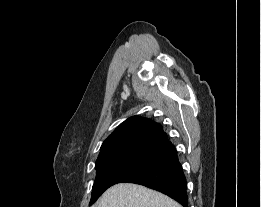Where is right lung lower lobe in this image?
I'll return each mask as SVG.
<instances>
[{"instance_id":"right-lung-lower-lobe-1","label":"right lung lower lobe","mask_w":261,"mask_h":207,"mask_svg":"<svg viewBox=\"0 0 261 207\" xmlns=\"http://www.w3.org/2000/svg\"><path fill=\"white\" fill-rule=\"evenodd\" d=\"M125 182L140 184L157 190L173 198L183 207H188L186 178L177 155L132 176Z\"/></svg>"}]
</instances>
